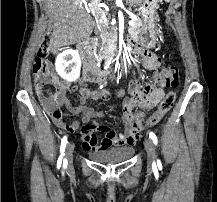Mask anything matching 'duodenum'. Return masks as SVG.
<instances>
[{"label": "duodenum", "instance_id": "1", "mask_svg": "<svg viewBox=\"0 0 217 202\" xmlns=\"http://www.w3.org/2000/svg\"><path fill=\"white\" fill-rule=\"evenodd\" d=\"M92 48L93 43L91 41L84 43L81 47L84 60L83 79L91 83H100L108 77L109 71L101 70L95 65Z\"/></svg>", "mask_w": 217, "mask_h": 202}]
</instances>
